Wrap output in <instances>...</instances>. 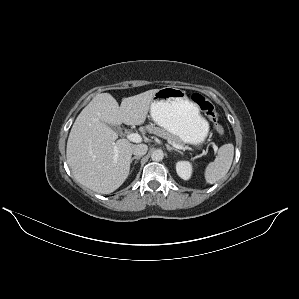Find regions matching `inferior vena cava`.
I'll use <instances>...</instances> for the list:
<instances>
[{"label": "inferior vena cava", "instance_id": "1", "mask_svg": "<svg viewBox=\"0 0 299 299\" xmlns=\"http://www.w3.org/2000/svg\"><path fill=\"white\" fill-rule=\"evenodd\" d=\"M148 146L145 144H138L133 147L132 153L135 156H143L146 154Z\"/></svg>", "mask_w": 299, "mask_h": 299}]
</instances>
